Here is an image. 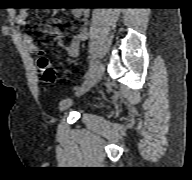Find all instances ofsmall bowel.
Masks as SVG:
<instances>
[{"mask_svg":"<svg viewBox=\"0 0 192 180\" xmlns=\"http://www.w3.org/2000/svg\"><path fill=\"white\" fill-rule=\"evenodd\" d=\"M72 15L74 18H80L81 16H84V18H87L88 12L82 11L80 8H74L72 10ZM27 17H28V11L26 9H21L17 13L16 21L19 25H25L27 24ZM49 32L57 36L58 45L62 47L66 51V53L71 57H77L79 55L82 43L85 40H87L89 36L87 27L83 26L78 31V33L73 36L70 43L68 45H65L57 30H50ZM22 40L24 45L30 52H34L37 50L36 44L30 34L24 33L22 35Z\"/></svg>","mask_w":192,"mask_h":180,"instance_id":"small-bowel-1","label":"small bowel"}]
</instances>
